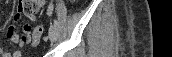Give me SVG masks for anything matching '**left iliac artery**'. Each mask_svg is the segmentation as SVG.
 Here are the masks:
<instances>
[{
	"mask_svg": "<svg viewBox=\"0 0 172 57\" xmlns=\"http://www.w3.org/2000/svg\"><path fill=\"white\" fill-rule=\"evenodd\" d=\"M52 10H53V7H52V5L50 4L49 7H48V14H49V15L52 13ZM54 25H55L56 27H59V23H58L57 20H54Z\"/></svg>",
	"mask_w": 172,
	"mask_h": 57,
	"instance_id": "obj_1",
	"label": "left iliac artery"
}]
</instances>
